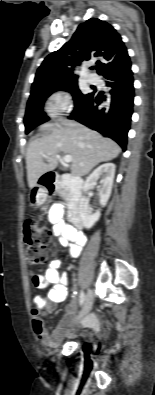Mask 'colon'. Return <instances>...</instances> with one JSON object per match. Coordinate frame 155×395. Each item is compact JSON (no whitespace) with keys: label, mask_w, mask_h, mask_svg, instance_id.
I'll return each mask as SVG.
<instances>
[{"label":"colon","mask_w":155,"mask_h":395,"mask_svg":"<svg viewBox=\"0 0 155 395\" xmlns=\"http://www.w3.org/2000/svg\"><path fill=\"white\" fill-rule=\"evenodd\" d=\"M51 237V231L46 227L40 226L35 220L29 219L25 222L23 243L25 259L29 266L37 267L46 262L47 246L51 242ZM33 272L30 274V279H33Z\"/></svg>","instance_id":"5ec220e1"}]
</instances>
